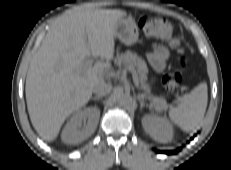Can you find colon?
Instances as JSON below:
<instances>
[{
  "label": "colon",
  "mask_w": 231,
  "mask_h": 170,
  "mask_svg": "<svg viewBox=\"0 0 231 170\" xmlns=\"http://www.w3.org/2000/svg\"><path fill=\"white\" fill-rule=\"evenodd\" d=\"M139 28L147 36H155L164 39L176 49L179 53H184L182 47V38L173 32V27L164 19L151 16H142L138 22ZM180 67L174 72L169 73L163 77V84L165 88L175 93L177 92L183 78V67L185 65V58H179Z\"/></svg>",
  "instance_id": "5ec220e1"
}]
</instances>
